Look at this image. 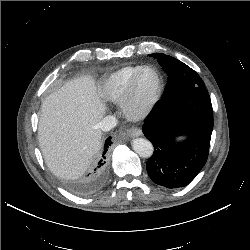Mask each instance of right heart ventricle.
I'll use <instances>...</instances> for the list:
<instances>
[{"label":"right heart ventricle","instance_id":"obj_1","mask_svg":"<svg viewBox=\"0 0 250 250\" xmlns=\"http://www.w3.org/2000/svg\"><path fill=\"white\" fill-rule=\"evenodd\" d=\"M143 67V65H128L110 73L100 86V96L110 102L121 101L132 79Z\"/></svg>","mask_w":250,"mask_h":250}]
</instances>
